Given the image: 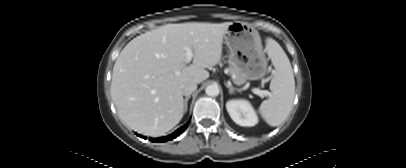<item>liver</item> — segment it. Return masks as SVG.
I'll return each instance as SVG.
<instances>
[{
    "label": "liver",
    "mask_w": 406,
    "mask_h": 168,
    "mask_svg": "<svg viewBox=\"0 0 406 168\" xmlns=\"http://www.w3.org/2000/svg\"><path fill=\"white\" fill-rule=\"evenodd\" d=\"M230 22L167 24L131 40L117 57L111 96L120 120L152 137L164 135L184 114L182 87L202 83L217 65ZM193 63L186 66V51Z\"/></svg>",
    "instance_id": "6515ba94"
}]
</instances>
